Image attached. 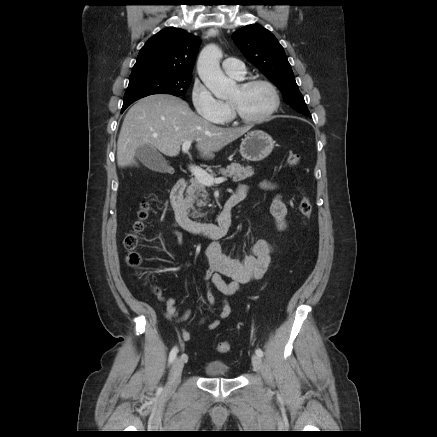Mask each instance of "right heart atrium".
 Segmentation results:
<instances>
[{
	"instance_id": "1",
	"label": "right heart atrium",
	"mask_w": 437,
	"mask_h": 437,
	"mask_svg": "<svg viewBox=\"0 0 437 437\" xmlns=\"http://www.w3.org/2000/svg\"><path fill=\"white\" fill-rule=\"evenodd\" d=\"M191 101L196 113L210 122H223L230 113L228 104L216 98L199 80H196L193 84Z\"/></svg>"
}]
</instances>
